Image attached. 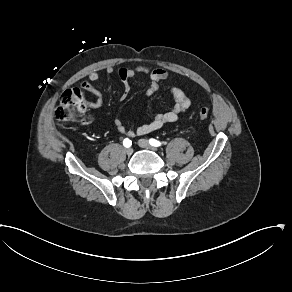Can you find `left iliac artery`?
Listing matches in <instances>:
<instances>
[{"label":"left iliac artery","instance_id":"left-iliac-artery-1","mask_svg":"<svg viewBox=\"0 0 292 292\" xmlns=\"http://www.w3.org/2000/svg\"><path fill=\"white\" fill-rule=\"evenodd\" d=\"M149 143H150V145L155 146V147L161 146V142H159L158 140L153 139V138L149 139Z\"/></svg>","mask_w":292,"mask_h":292}]
</instances>
